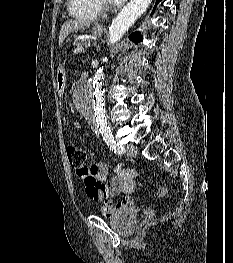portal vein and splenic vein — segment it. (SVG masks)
<instances>
[{
	"mask_svg": "<svg viewBox=\"0 0 233 263\" xmlns=\"http://www.w3.org/2000/svg\"><path fill=\"white\" fill-rule=\"evenodd\" d=\"M81 51H82L81 48H77V49L75 50V52H81Z\"/></svg>",
	"mask_w": 233,
	"mask_h": 263,
	"instance_id": "18ae733b",
	"label": "portal vein and splenic vein"
}]
</instances>
